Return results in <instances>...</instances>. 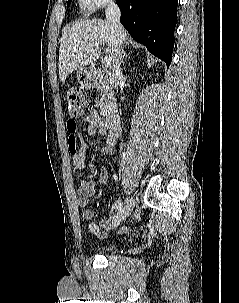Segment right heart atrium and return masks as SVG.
Instances as JSON below:
<instances>
[{
  "instance_id": "d8ad5b80",
  "label": "right heart atrium",
  "mask_w": 239,
  "mask_h": 303,
  "mask_svg": "<svg viewBox=\"0 0 239 303\" xmlns=\"http://www.w3.org/2000/svg\"><path fill=\"white\" fill-rule=\"evenodd\" d=\"M79 6L86 11H93L108 4L112 3L114 0H78Z\"/></svg>"
}]
</instances>
